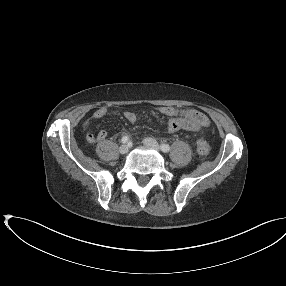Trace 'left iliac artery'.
Segmentation results:
<instances>
[{"mask_svg":"<svg viewBox=\"0 0 286 286\" xmlns=\"http://www.w3.org/2000/svg\"><path fill=\"white\" fill-rule=\"evenodd\" d=\"M160 148L163 152H169L170 151V146L168 144H161Z\"/></svg>","mask_w":286,"mask_h":286,"instance_id":"1","label":"left iliac artery"}]
</instances>
